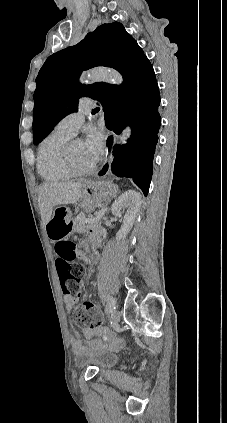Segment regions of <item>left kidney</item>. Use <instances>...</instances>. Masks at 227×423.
Here are the masks:
<instances>
[{"label":"left kidney","instance_id":"obj_1","mask_svg":"<svg viewBox=\"0 0 227 423\" xmlns=\"http://www.w3.org/2000/svg\"><path fill=\"white\" fill-rule=\"evenodd\" d=\"M141 204V194H139V192H134V190H127V192L121 194V196L115 200L114 204H112L111 211L113 215L122 217L123 211L121 210H126V213L123 215V223L116 233L117 241H119V239H124L130 229H132V225L140 211Z\"/></svg>","mask_w":227,"mask_h":423}]
</instances>
